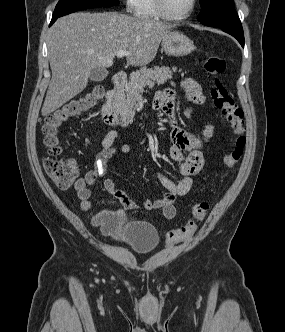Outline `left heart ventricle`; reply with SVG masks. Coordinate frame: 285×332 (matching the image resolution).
<instances>
[{
    "mask_svg": "<svg viewBox=\"0 0 285 332\" xmlns=\"http://www.w3.org/2000/svg\"><path fill=\"white\" fill-rule=\"evenodd\" d=\"M170 14L179 16L184 14L191 5V0H165Z\"/></svg>",
    "mask_w": 285,
    "mask_h": 332,
    "instance_id": "1",
    "label": "left heart ventricle"
}]
</instances>
